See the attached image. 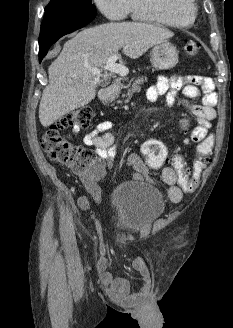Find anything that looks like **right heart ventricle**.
I'll list each match as a JSON object with an SVG mask.
<instances>
[{
	"mask_svg": "<svg viewBox=\"0 0 233 328\" xmlns=\"http://www.w3.org/2000/svg\"><path fill=\"white\" fill-rule=\"evenodd\" d=\"M181 2L182 0H130L129 13L134 20L186 28L193 23L194 16L183 14L178 9Z\"/></svg>",
	"mask_w": 233,
	"mask_h": 328,
	"instance_id": "e07e8e85",
	"label": "right heart ventricle"
}]
</instances>
